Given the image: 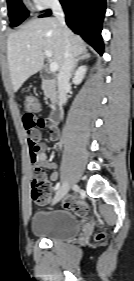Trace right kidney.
Listing matches in <instances>:
<instances>
[{
    "label": "right kidney",
    "instance_id": "1",
    "mask_svg": "<svg viewBox=\"0 0 134 281\" xmlns=\"http://www.w3.org/2000/svg\"><path fill=\"white\" fill-rule=\"evenodd\" d=\"M87 71V67L86 66H81L75 73V76H74V79H73V82L74 84L78 85L82 82L84 76H85V73Z\"/></svg>",
    "mask_w": 134,
    "mask_h": 281
}]
</instances>
